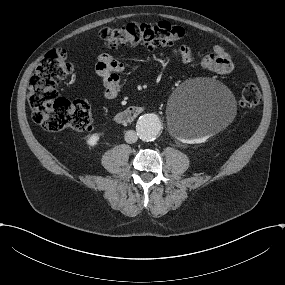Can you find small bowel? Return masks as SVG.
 <instances>
[{
    "label": "small bowel",
    "mask_w": 285,
    "mask_h": 285,
    "mask_svg": "<svg viewBox=\"0 0 285 285\" xmlns=\"http://www.w3.org/2000/svg\"><path fill=\"white\" fill-rule=\"evenodd\" d=\"M173 56L182 62H190L194 58L190 48L185 45L173 50ZM201 65L218 74H229L234 69L229 53L221 45H215L213 52L201 59ZM124 69V64L110 54L104 53L96 57L94 70L102 81L105 97L113 99L118 96L121 88L120 74Z\"/></svg>",
    "instance_id": "1"
}]
</instances>
